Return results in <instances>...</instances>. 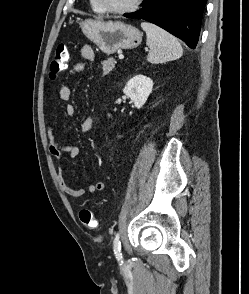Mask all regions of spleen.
<instances>
[{
	"label": "spleen",
	"instance_id": "1",
	"mask_svg": "<svg viewBox=\"0 0 249 294\" xmlns=\"http://www.w3.org/2000/svg\"><path fill=\"white\" fill-rule=\"evenodd\" d=\"M141 27L146 32V43L150 48L148 62L158 64L176 60L182 56L183 49L173 35L149 22H142Z\"/></svg>",
	"mask_w": 249,
	"mask_h": 294
}]
</instances>
